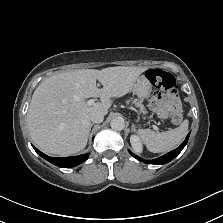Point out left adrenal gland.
<instances>
[{"mask_svg": "<svg viewBox=\"0 0 223 223\" xmlns=\"http://www.w3.org/2000/svg\"><path fill=\"white\" fill-rule=\"evenodd\" d=\"M131 130L137 131L136 126H135V123H134V122H132V125H131Z\"/></svg>", "mask_w": 223, "mask_h": 223, "instance_id": "obj_1", "label": "left adrenal gland"}]
</instances>
